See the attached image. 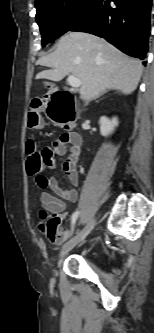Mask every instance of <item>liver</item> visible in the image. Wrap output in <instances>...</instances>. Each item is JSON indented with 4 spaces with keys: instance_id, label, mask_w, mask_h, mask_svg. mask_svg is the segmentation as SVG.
Returning <instances> with one entry per match:
<instances>
[{
    "instance_id": "6515ba94",
    "label": "liver",
    "mask_w": 154,
    "mask_h": 333,
    "mask_svg": "<svg viewBox=\"0 0 154 333\" xmlns=\"http://www.w3.org/2000/svg\"><path fill=\"white\" fill-rule=\"evenodd\" d=\"M38 65L51 69L36 75V79L61 81L71 74L81 81L80 95L90 101L107 89L132 93L142 75V63L131 58L97 36L69 32L62 36L56 50L40 57Z\"/></svg>"
}]
</instances>
